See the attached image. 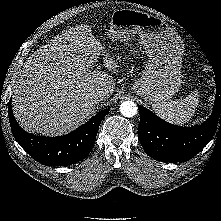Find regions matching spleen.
I'll return each mask as SVG.
<instances>
[{
    "label": "spleen",
    "instance_id": "obj_1",
    "mask_svg": "<svg viewBox=\"0 0 221 221\" xmlns=\"http://www.w3.org/2000/svg\"><path fill=\"white\" fill-rule=\"evenodd\" d=\"M198 102L199 95L197 91H194L183 99L154 105L153 109L158 116L166 121L172 124L184 125L193 116Z\"/></svg>",
    "mask_w": 221,
    "mask_h": 221
}]
</instances>
